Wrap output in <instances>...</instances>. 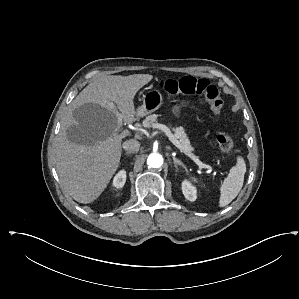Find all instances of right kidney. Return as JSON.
<instances>
[{"label": "right kidney", "instance_id": "obj_1", "mask_svg": "<svg viewBox=\"0 0 299 299\" xmlns=\"http://www.w3.org/2000/svg\"><path fill=\"white\" fill-rule=\"evenodd\" d=\"M126 182V171H119L113 179V186L117 189L122 188Z\"/></svg>", "mask_w": 299, "mask_h": 299}]
</instances>
